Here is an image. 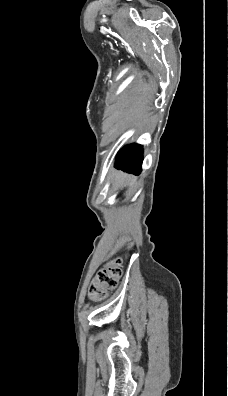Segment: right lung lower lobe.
Listing matches in <instances>:
<instances>
[{
  "mask_svg": "<svg viewBox=\"0 0 228 396\" xmlns=\"http://www.w3.org/2000/svg\"><path fill=\"white\" fill-rule=\"evenodd\" d=\"M143 160V150L141 145L132 144L125 147L118 154L115 167L123 171L139 175Z\"/></svg>",
  "mask_w": 228,
  "mask_h": 396,
  "instance_id": "obj_1",
  "label": "right lung lower lobe"
}]
</instances>
